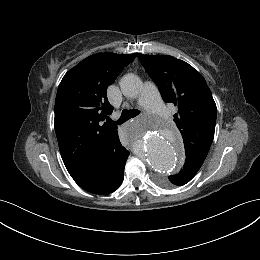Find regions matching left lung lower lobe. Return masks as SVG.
Instances as JSON below:
<instances>
[{
  "instance_id": "left-lung-lower-lobe-1",
  "label": "left lung lower lobe",
  "mask_w": 260,
  "mask_h": 260,
  "mask_svg": "<svg viewBox=\"0 0 260 260\" xmlns=\"http://www.w3.org/2000/svg\"><path fill=\"white\" fill-rule=\"evenodd\" d=\"M201 165L193 160L185 161L184 168L176 175L169 176V181L173 185H185L188 183L199 171Z\"/></svg>"
}]
</instances>
